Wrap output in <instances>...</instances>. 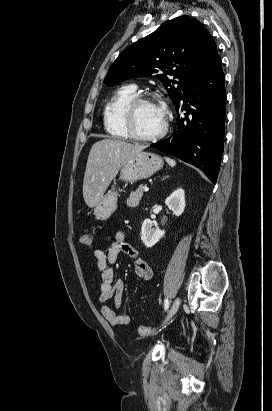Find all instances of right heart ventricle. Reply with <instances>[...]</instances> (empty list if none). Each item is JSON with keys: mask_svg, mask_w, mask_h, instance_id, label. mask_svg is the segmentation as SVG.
<instances>
[{"mask_svg": "<svg viewBox=\"0 0 272 411\" xmlns=\"http://www.w3.org/2000/svg\"><path fill=\"white\" fill-rule=\"evenodd\" d=\"M136 95L137 90L133 85H125L120 87L105 105L103 123L106 132L112 137L122 139L129 137L124 127L123 112L128 102Z\"/></svg>", "mask_w": 272, "mask_h": 411, "instance_id": "right-heart-ventricle-1", "label": "right heart ventricle"}]
</instances>
